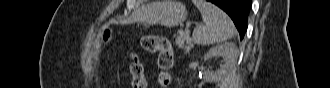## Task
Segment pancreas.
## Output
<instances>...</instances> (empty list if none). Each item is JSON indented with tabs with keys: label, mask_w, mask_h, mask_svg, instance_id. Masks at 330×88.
Returning a JSON list of instances; mask_svg holds the SVG:
<instances>
[{
	"label": "pancreas",
	"mask_w": 330,
	"mask_h": 88,
	"mask_svg": "<svg viewBox=\"0 0 330 88\" xmlns=\"http://www.w3.org/2000/svg\"><path fill=\"white\" fill-rule=\"evenodd\" d=\"M176 44L180 49L189 51L193 47V41L188 32L179 30L176 35Z\"/></svg>",
	"instance_id": "obj_1"
}]
</instances>
